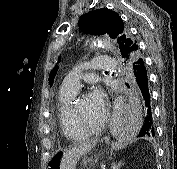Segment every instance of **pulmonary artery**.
Listing matches in <instances>:
<instances>
[{
    "label": "pulmonary artery",
    "mask_w": 177,
    "mask_h": 169,
    "mask_svg": "<svg viewBox=\"0 0 177 169\" xmlns=\"http://www.w3.org/2000/svg\"><path fill=\"white\" fill-rule=\"evenodd\" d=\"M115 66V62L108 56H99L92 61L76 66L72 71L64 78L61 88L63 90L78 91L80 84V70L83 67H88L93 71H102Z\"/></svg>",
    "instance_id": "e3ab8cb5"
}]
</instances>
